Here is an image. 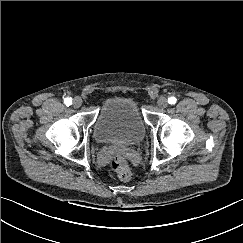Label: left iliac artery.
Masks as SVG:
<instances>
[{
  "label": "left iliac artery",
  "mask_w": 243,
  "mask_h": 243,
  "mask_svg": "<svg viewBox=\"0 0 243 243\" xmlns=\"http://www.w3.org/2000/svg\"><path fill=\"white\" fill-rule=\"evenodd\" d=\"M176 102H177V99H176L175 97H170V98H168V103H169V104L173 105V104H175Z\"/></svg>",
  "instance_id": "left-iliac-artery-1"
}]
</instances>
